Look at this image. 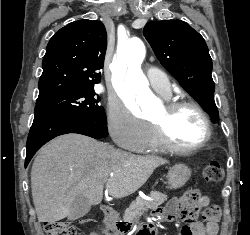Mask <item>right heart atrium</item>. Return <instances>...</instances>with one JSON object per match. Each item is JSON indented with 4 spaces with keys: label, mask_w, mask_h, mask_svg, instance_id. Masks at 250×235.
<instances>
[{
    "label": "right heart atrium",
    "mask_w": 250,
    "mask_h": 235,
    "mask_svg": "<svg viewBox=\"0 0 250 235\" xmlns=\"http://www.w3.org/2000/svg\"><path fill=\"white\" fill-rule=\"evenodd\" d=\"M107 127L114 142L130 151H140L149 138V125L119 101L108 105Z\"/></svg>",
    "instance_id": "obj_1"
}]
</instances>
